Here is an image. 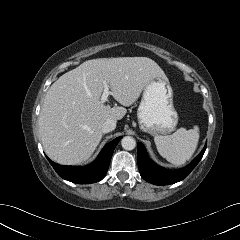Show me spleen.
<instances>
[{
  "label": "spleen",
  "mask_w": 240,
  "mask_h": 240,
  "mask_svg": "<svg viewBox=\"0 0 240 240\" xmlns=\"http://www.w3.org/2000/svg\"><path fill=\"white\" fill-rule=\"evenodd\" d=\"M199 127L179 128L172 135H156L154 141L159 154L174 165H182L194 154L199 142Z\"/></svg>",
  "instance_id": "spleen-1"
}]
</instances>
